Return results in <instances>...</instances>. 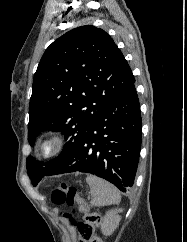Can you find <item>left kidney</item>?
<instances>
[{"instance_id":"obj_1","label":"left kidney","mask_w":187,"mask_h":242,"mask_svg":"<svg viewBox=\"0 0 187 242\" xmlns=\"http://www.w3.org/2000/svg\"><path fill=\"white\" fill-rule=\"evenodd\" d=\"M122 209H115L108 211L101 223V231L105 236L111 235L114 230L119 226L121 217L118 215Z\"/></svg>"}]
</instances>
